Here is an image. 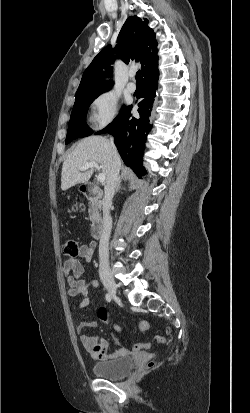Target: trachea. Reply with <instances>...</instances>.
Listing matches in <instances>:
<instances>
[{"label":"trachea","instance_id":"trachea-1","mask_svg":"<svg viewBox=\"0 0 250 413\" xmlns=\"http://www.w3.org/2000/svg\"><path fill=\"white\" fill-rule=\"evenodd\" d=\"M136 81L137 83H141V71L138 70L136 73Z\"/></svg>","mask_w":250,"mask_h":413}]
</instances>
